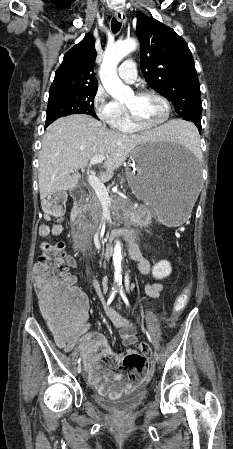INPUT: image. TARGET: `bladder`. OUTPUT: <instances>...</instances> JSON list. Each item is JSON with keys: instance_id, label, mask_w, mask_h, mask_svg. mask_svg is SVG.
<instances>
[{"instance_id": "31cf9c89", "label": "bladder", "mask_w": 233, "mask_h": 449, "mask_svg": "<svg viewBox=\"0 0 233 449\" xmlns=\"http://www.w3.org/2000/svg\"><path fill=\"white\" fill-rule=\"evenodd\" d=\"M146 398V392H137L130 395H124L118 399H109L101 396L100 394H94L95 402L110 411L113 412H126L138 407Z\"/></svg>"}]
</instances>
